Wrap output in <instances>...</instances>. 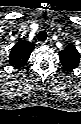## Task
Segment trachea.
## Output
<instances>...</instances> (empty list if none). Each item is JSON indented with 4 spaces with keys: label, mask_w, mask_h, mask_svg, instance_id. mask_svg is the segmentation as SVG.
Returning a JSON list of instances; mask_svg holds the SVG:
<instances>
[{
    "label": "trachea",
    "mask_w": 81,
    "mask_h": 124,
    "mask_svg": "<svg viewBox=\"0 0 81 124\" xmlns=\"http://www.w3.org/2000/svg\"><path fill=\"white\" fill-rule=\"evenodd\" d=\"M37 38L40 42H44L47 39V33L45 31H40Z\"/></svg>",
    "instance_id": "3493384b"
}]
</instances>
